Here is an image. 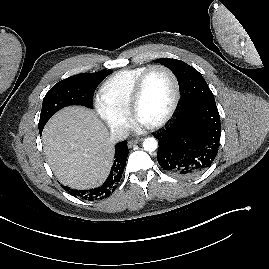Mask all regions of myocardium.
Returning <instances> with one entry per match:
<instances>
[{"mask_svg": "<svg viewBox=\"0 0 269 269\" xmlns=\"http://www.w3.org/2000/svg\"><path fill=\"white\" fill-rule=\"evenodd\" d=\"M155 70H163L171 77L173 81V85H174V97H173V100L171 102L169 109L167 110V112L162 118H160L158 121L152 124L145 125V127L148 129H157L164 126L172 118L173 114L175 113L178 107V104L181 98V86H180V81L176 73L166 65L155 64V65L149 66L137 79L132 95H131V99L129 103V112L131 116L133 117V119L138 121L137 111H138V106H139V103L143 94L144 86L150 73Z\"/></svg>", "mask_w": 269, "mask_h": 269, "instance_id": "obj_1", "label": "myocardium"}]
</instances>
